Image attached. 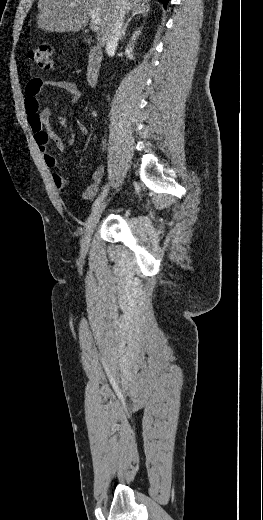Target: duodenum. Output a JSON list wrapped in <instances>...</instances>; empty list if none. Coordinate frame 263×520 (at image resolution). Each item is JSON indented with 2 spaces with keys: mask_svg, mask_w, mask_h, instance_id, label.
I'll list each match as a JSON object with an SVG mask.
<instances>
[{
  "mask_svg": "<svg viewBox=\"0 0 263 520\" xmlns=\"http://www.w3.org/2000/svg\"><path fill=\"white\" fill-rule=\"evenodd\" d=\"M102 60L103 54L101 49L96 45L90 44L86 66V80L91 87L95 86L98 81Z\"/></svg>",
  "mask_w": 263,
  "mask_h": 520,
  "instance_id": "duodenum-1",
  "label": "duodenum"
}]
</instances>
